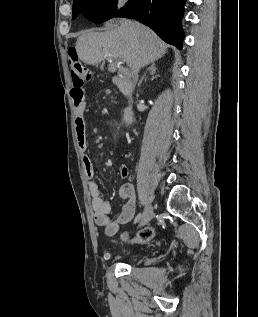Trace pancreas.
Here are the masks:
<instances>
[{"label": "pancreas", "mask_w": 258, "mask_h": 317, "mask_svg": "<svg viewBox=\"0 0 258 317\" xmlns=\"http://www.w3.org/2000/svg\"><path fill=\"white\" fill-rule=\"evenodd\" d=\"M117 79H120V78H117ZM119 88H122V86H119Z\"/></svg>", "instance_id": "cf45deb5"}]
</instances>
